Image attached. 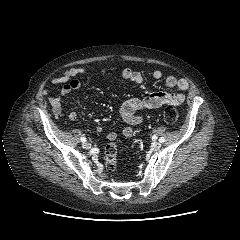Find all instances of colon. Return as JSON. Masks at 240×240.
<instances>
[{
  "instance_id": "5ec220e1",
  "label": "colon",
  "mask_w": 240,
  "mask_h": 240,
  "mask_svg": "<svg viewBox=\"0 0 240 240\" xmlns=\"http://www.w3.org/2000/svg\"><path fill=\"white\" fill-rule=\"evenodd\" d=\"M163 118L166 123L174 124L179 119V112L176 108L169 106L164 110ZM105 163L108 171L112 172L117 167V145L114 142H110L105 147Z\"/></svg>"
}]
</instances>
